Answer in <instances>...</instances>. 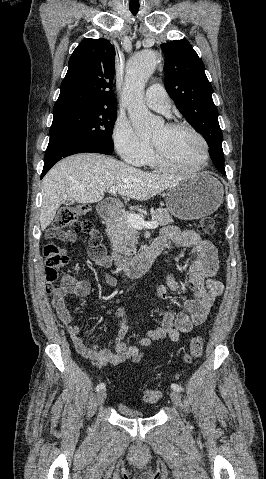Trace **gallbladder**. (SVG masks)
I'll return each mask as SVG.
<instances>
[{"instance_id": "obj_1", "label": "gallbladder", "mask_w": 266, "mask_h": 479, "mask_svg": "<svg viewBox=\"0 0 266 479\" xmlns=\"http://www.w3.org/2000/svg\"><path fill=\"white\" fill-rule=\"evenodd\" d=\"M65 205H72L74 203V200H65L63 201Z\"/></svg>"}]
</instances>
